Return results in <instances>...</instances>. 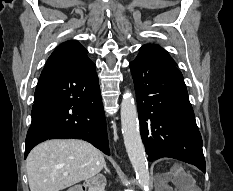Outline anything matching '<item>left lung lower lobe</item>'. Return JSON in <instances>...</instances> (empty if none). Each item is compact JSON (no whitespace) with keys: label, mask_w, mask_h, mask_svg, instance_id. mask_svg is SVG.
Listing matches in <instances>:
<instances>
[{"label":"left lung lower lobe","mask_w":233,"mask_h":191,"mask_svg":"<svg viewBox=\"0 0 233 191\" xmlns=\"http://www.w3.org/2000/svg\"><path fill=\"white\" fill-rule=\"evenodd\" d=\"M129 66L148 160L170 157L205 173L202 138L181 72L153 57H136Z\"/></svg>","instance_id":"0a47b994"}]
</instances>
